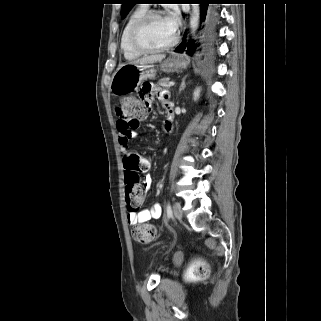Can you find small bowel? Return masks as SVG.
<instances>
[{
  "mask_svg": "<svg viewBox=\"0 0 321 321\" xmlns=\"http://www.w3.org/2000/svg\"><path fill=\"white\" fill-rule=\"evenodd\" d=\"M141 85L142 87H139L138 91H134V98H143L146 104L152 105L155 102L154 99H152L153 93H155L167 112V116L164 121V128L166 131H170L172 128V121L168 119V114L172 113V103L169 99V93L166 90L156 88L155 86H153L151 80H142ZM137 127L138 126H132L122 121L121 119H118L116 122V128L118 131V142L123 153L124 166L133 154H137L136 152L132 151L129 147V141L137 136ZM151 183L152 178L149 175H146L144 177L145 186L149 187ZM161 213V205L159 203H154L149 208L143 209L138 212L129 211L127 214V222L131 226L144 224L152 219L160 218Z\"/></svg>",
  "mask_w": 321,
  "mask_h": 321,
  "instance_id": "small-bowel-1",
  "label": "small bowel"
}]
</instances>
